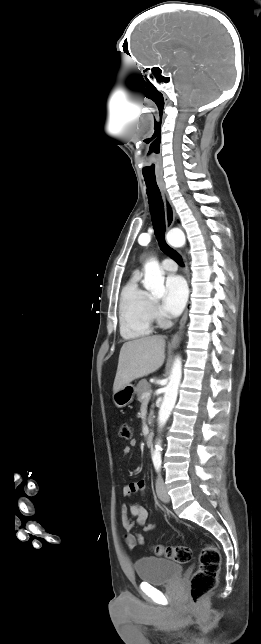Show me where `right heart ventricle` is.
Returning a JSON list of instances; mask_svg holds the SVG:
<instances>
[{"label":"right heart ventricle","instance_id":"1","mask_svg":"<svg viewBox=\"0 0 261 644\" xmlns=\"http://www.w3.org/2000/svg\"><path fill=\"white\" fill-rule=\"evenodd\" d=\"M152 304L149 293L140 287L139 278H130L122 289L119 304L120 333L125 339H138L152 333Z\"/></svg>","mask_w":261,"mask_h":644}]
</instances>
